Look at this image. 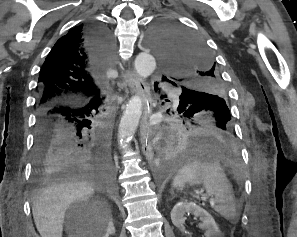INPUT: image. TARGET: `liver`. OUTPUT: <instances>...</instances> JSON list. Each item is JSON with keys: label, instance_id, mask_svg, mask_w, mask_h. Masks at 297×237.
Returning <instances> with one entry per match:
<instances>
[{"label": "liver", "instance_id": "1", "mask_svg": "<svg viewBox=\"0 0 297 237\" xmlns=\"http://www.w3.org/2000/svg\"><path fill=\"white\" fill-rule=\"evenodd\" d=\"M94 191L93 183L81 176L51 183L37 191L32 214L40 237H62L65 212L70 204L90 197Z\"/></svg>", "mask_w": 297, "mask_h": 237}]
</instances>
